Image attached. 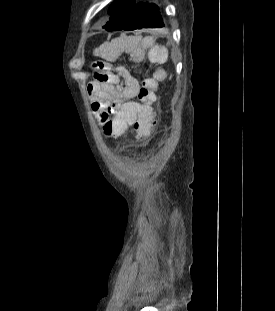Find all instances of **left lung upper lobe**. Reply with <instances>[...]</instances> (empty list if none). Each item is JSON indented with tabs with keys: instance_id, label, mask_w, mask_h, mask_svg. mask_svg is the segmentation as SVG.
Masks as SVG:
<instances>
[{
	"instance_id": "obj_1",
	"label": "left lung upper lobe",
	"mask_w": 275,
	"mask_h": 311,
	"mask_svg": "<svg viewBox=\"0 0 275 311\" xmlns=\"http://www.w3.org/2000/svg\"><path fill=\"white\" fill-rule=\"evenodd\" d=\"M143 3L135 0H117L109 9L110 19L104 26L107 31H120L128 26L137 16Z\"/></svg>"
}]
</instances>
